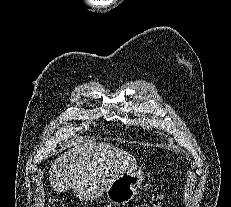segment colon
Instances as JSON below:
<instances>
[{
	"label": "colon",
	"instance_id": "5ec220e1",
	"mask_svg": "<svg viewBox=\"0 0 231 207\" xmlns=\"http://www.w3.org/2000/svg\"><path fill=\"white\" fill-rule=\"evenodd\" d=\"M49 207H65L63 202L60 200H52L49 203ZM137 207H161V198L157 197L153 199L151 202L148 204H143Z\"/></svg>",
	"mask_w": 231,
	"mask_h": 207
}]
</instances>
